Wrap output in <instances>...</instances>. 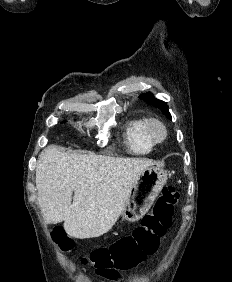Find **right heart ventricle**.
Masks as SVG:
<instances>
[{
  "label": "right heart ventricle",
  "instance_id": "right-heart-ventricle-1",
  "mask_svg": "<svg viewBox=\"0 0 232 282\" xmlns=\"http://www.w3.org/2000/svg\"><path fill=\"white\" fill-rule=\"evenodd\" d=\"M148 118L140 115L129 116L124 122L123 143L128 153L132 155L149 154L154 144L145 134Z\"/></svg>",
  "mask_w": 232,
  "mask_h": 282
}]
</instances>
